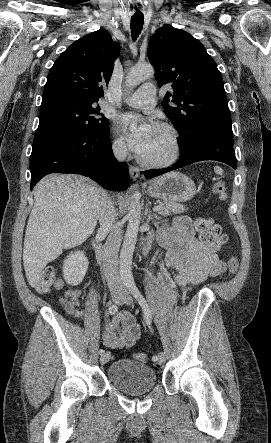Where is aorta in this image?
<instances>
[{"label":"aorta","mask_w":271,"mask_h":443,"mask_svg":"<svg viewBox=\"0 0 271 443\" xmlns=\"http://www.w3.org/2000/svg\"><path fill=\"white\" fill-rule=\"evenodd\" d=\"M152 76H154V68L151 66V64L135 66V68H132V70H130V72L127 74L126 90L136 88L138 84L145 82V80L152 78ZM130 128L134 130V128H136V124H131ZM140 196L141 194H137L135 198H138V200H132L130 204L129 212L127 214V229L120 251L119 273L122 281H127V283H134L132 273V257L138 237L139 225L142 220Z\"/></svg>","instance_id":"obj_1"}]
</instances>
